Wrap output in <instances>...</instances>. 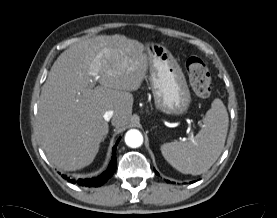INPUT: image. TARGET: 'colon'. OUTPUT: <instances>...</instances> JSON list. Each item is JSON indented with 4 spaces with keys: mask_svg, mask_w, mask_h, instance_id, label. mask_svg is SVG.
Listing matches in <instances>:
<instances>
[{
    "mask_svg": "<svg viewBox=\"0 0 277 218\" xmlns=\"http://www.w3.org/2000/svg\"><path fill=\"white\" fill-rule=\"evenodd\" d=\"M186 69L194 94L202 99L210 97L212 81L204 60L198 56H191L187 59Z\"/></svg>",
    "mask_w": 277,
    "mask_h": 218,
    "instance_id": "5ec220e1",
    "label": "colon"
}]
</instances>
